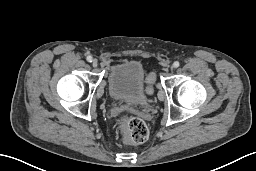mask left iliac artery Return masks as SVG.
<instances>
[{"label":"left iliac artery","mask_w":256,"mask_h":171,"mask_svg":"<svg viewBox=\"0 0 256 171\" xmlns=\"http://www.w3.org/2000/svg\"><path fill=\"white\" fill-rule=\"evenodd\" d=\"M173 65L175 68H177V67H179L180 63L178 61H175Z\"/></svg>","instance_id":"44dca946"}]
</instances>
